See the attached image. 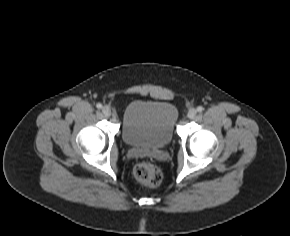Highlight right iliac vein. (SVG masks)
Returning <instances> with one entry per match:
<instances>
[{"label":"right iliac vein","instance_id":"right-iliac-vein-1","mask_svg":"<svg viewBox=\"0 0 290 236\" xmlns=\"http://www.w3.org/2000/svg\"><path fill=\"white\" fill-rule=\"evenodd\" d=\"M102 113L104 116L109 117L111 115V110L108 106H103Z\"/></svg>","mask_w":290,"mask_h":236}]
</instances>
